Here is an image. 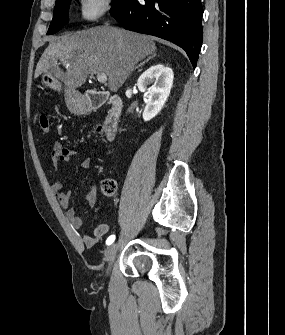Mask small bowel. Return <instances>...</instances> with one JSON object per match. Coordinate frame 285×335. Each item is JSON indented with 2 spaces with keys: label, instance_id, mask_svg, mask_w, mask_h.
Instances as JSON below:
<instances>
[{
  "label": "small bowel",
  "instance_id": "small-bowel-1",
  "mask_svg": "<svg viewBox=\"0 0 285 335\" xmlns=\"http://www.w3.org/2000/svg\"><path fill=\"white\" fill-rule=\"evenodd\" d=\"M77 151L63 147L60 142H55L51 151V158L54 165H59L60 163L69 162L70 158L77 155ZM80 167L83 170H89L91 168V159L86 157L80 162ZM52 190L54 191L60 205L67 208L66 216L69 220L71 226L74 229H81L84 225L83 219L77 214L74 208H69L71 193L66 188L63 182H56L52 185ZM98 193L97 188L93 186L89 193L85 197V202L88 206L92 207L97 201ZM109 224H100L97 227L89 230L82 237V241L85 246L93 247L99 240L109 231Z\"/></svg>",
  "mask_w": 285,
  "mask_h": 335
}]
</instances>
